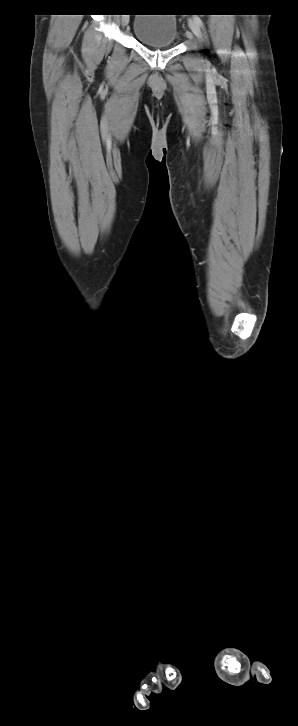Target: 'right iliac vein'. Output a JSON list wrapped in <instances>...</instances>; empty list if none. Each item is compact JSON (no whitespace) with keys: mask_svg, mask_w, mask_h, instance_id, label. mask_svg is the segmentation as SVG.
I'll use <instances>...</instances> for the list:
<instances>
[{"mask_svg":"<svg viewBox=\"0 0 298 726\" xmlns=\"http://www.w3.org/2000/svg\"><path fill=\"white\" fill-rule=\"evenodd\" d=\"M129 22V17L127 15L122 17V26L125 27Z\"/></svg>","mask_w":298,"mask_h":726,"instance_id":"1","label":"right iliac vein"}]
</instances>
